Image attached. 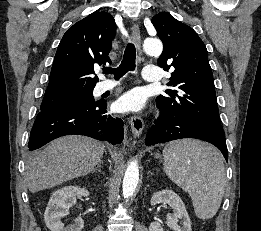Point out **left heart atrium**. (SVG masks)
<instances>
[{
	"label": "left heart atrium",
	"mask_w": 261,
	"mask_h": 231,
	"mask_svg": "<svg viewBox=\"0 0 261 231\" xmlns=\"http://www.w3.org/2000/svg\"><path fill=\"white\" fill-rule=\"evenodd\" d=\"M147 98L144 91L140 88L132 89L116 101V108L120 112H138L146 106Z\"/></svg>",
	"instance_id": "1"
}]
</instances>
